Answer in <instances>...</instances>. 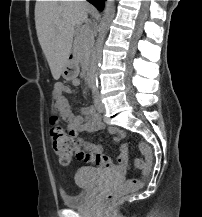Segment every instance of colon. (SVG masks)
I'll use <instances>...</instances> for the list:
<instances>
[{"label":"colon","mask_w":202,"mask_h":217,"mask_svg":"<svg viewBox=\"0 0 202 217\" xmlns=\"http://www.w3.org/2000/svg\"><path fill=\"white\" fill-rule=\"evenodd\" d=\"M50 124L51 148L60 164L69 166L73 158L81 159L84 156V152L78 148L73 137L58 123L57 116L53 115L50 118ZM139 146L142 154L145 156V161L141 158H135L134 166L141 171L142 177L131 178L118 186L114 191L108 193L103 199L104 205L112 206L126 192L139 189L151 175L154 160L153 151L146 143L142 142Z\"/></svg>","instance_id":"colon-1"}]
</instances>
